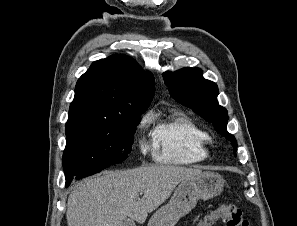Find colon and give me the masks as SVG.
Here are the masks:
<instances>
[{"mask_svg":"<svg viewBox=\"0 0 297 226\" xmlns=\"http://www.w3.org/2000/svg\"><path fill=\"white\" fill-rule=\"evenodd\" d=\"M218 219H221L226 226H249V221L242 210L229 203L222 204L217 211L207 216L199 226H212Z\"/></svg>","mask_w":297,"mask_h":226,"instance_id":"obj_1","label":"colon"}]
</instances>
